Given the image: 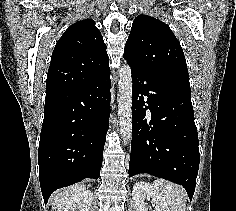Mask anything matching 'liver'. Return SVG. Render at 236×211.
I'll list each match as a JSON object with an SVG mask.
<instances>
[{"mask_svg":"<svg viewBox=\"0 0 236 211\" xmlns=\"http://www.w3.org/2000/svg\"><path fill=\"white\" fill-rule=\"evenodd\" d=\"M86 189L84 184H75L67 188L56 191L51 197L52 206L60 208V206L71 197L83 192Z\"/></svg>","mask_w":236,"mask_h":211,"instance_id":"obj_1","label":"liver"}]
</instances>
